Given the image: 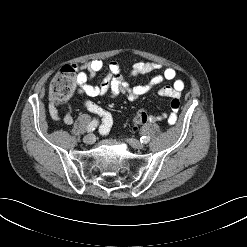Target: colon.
<instances>
[{
    "mask_svg": "<svg viewBox=\"0 0 247 247\" xmlns=\"http://www.w3.org/2000/svg\"><path fill=\"white\" fill-rule=\"evenodd\" d=\"M77 84L75 67L72 65L64 66L52 79L49 86L50 100L54 103L65 102L71 98ZM178 99L172 102V108L179 109ZM148 121V114L144 110H139L133 117V126L140 127Z\"/></svg>",
    "mask_w": 247,
    "mask_h": 247,
    "instance_id": "obj_1",
    "label": "colon"
}]
</instances>
